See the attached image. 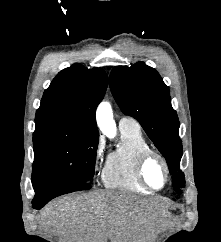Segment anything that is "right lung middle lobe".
<instances>
[{
  "mask_svg": "<svg viewBox=\"0 0 221 242\" xmlns=\"http://www.w3.org/2000/svg\"><path fill=\"white\" fill-rule=\"evenodd\" d=\"M99 134L74 126L36 127L32 178L88 182L94 176Z\"/></svg>",
  "mask_w": 221,
  "mask_h": 242,
  "instance_id": "dd1d6c3e",
  "label": "right lung middle lobe"
}]
</instances>
